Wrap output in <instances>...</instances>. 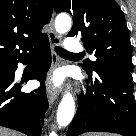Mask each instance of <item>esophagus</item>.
Masks as SVG:
<instances>
[{
	"mask_svg": "<svg viewBox=\"0 0 136 136\" xmlns=\"http://www.w3.org/2000/svg\"><path fill=\"white\" fill-rule=\"evenodd\" d=\"M51 49H52V68L56 67L59 64V58L58 55L55 52V47L59 46L61 44L60 36L55 32L53 28V16L50 21V31L48 33ZM47 97L51 104L54 103V101L59 96V90L51 86V80L49 78L48 84H47Z\"/></svg>",
	"mask_w": 136,
	"mask_h": 136,
	"instance_id": "34e87169",
	"label": "esophagus"
}]
</instances>
